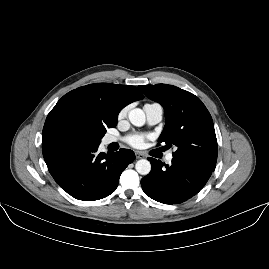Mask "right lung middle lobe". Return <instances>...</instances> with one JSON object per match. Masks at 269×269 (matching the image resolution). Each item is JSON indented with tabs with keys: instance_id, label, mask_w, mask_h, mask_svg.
Segmentation results:
<instances>
[{
	"instance_id": "1",
	"label": "right lung middle lobe",
	"mask_w": 269,
	"mask_h": 269,
	"mask_svg": "<svg viewBox=\"0 0 269 269\" xmlns=\"http://www.w3.org/2000/svg\"><path fill=\"white\" fill-rule=\"evenodd\" d=\"M116 124L117 122L106 125L96 117L66 116L58 121L56 131L60 140L71 139L80 144H100L106 128H114Z\"/></svg>"
}]
</instances>
